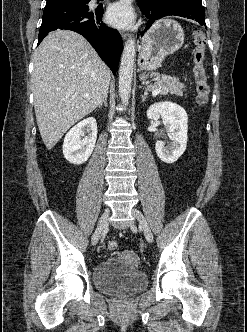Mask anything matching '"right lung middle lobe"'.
I'll use <instances>...</instances> for the list:
<instances>
[{"mask_svg":"<svg viewBox=\"0 0 247 332\" xmlns=\"http://www.w3.org/2000/svg\"><path fill=\"white\" fill-rule=\"evenodd\" d=\"M89 0H47L46 5L55 4V3H62V2H74V3H86Z\"/></svg>","mask_w":247,"mask_h":332,"instance_id":"obj_1","label":"right lung middle lobe"}]
</instances>
